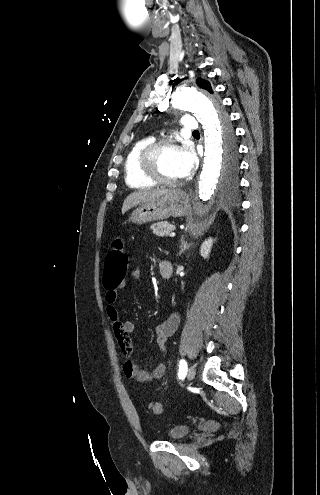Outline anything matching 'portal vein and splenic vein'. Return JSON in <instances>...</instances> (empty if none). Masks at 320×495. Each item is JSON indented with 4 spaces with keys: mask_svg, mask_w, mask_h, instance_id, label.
Returning a JSON list of instances; mask_svg holds the SVG:
<instances>
[{
    "mask_svg": "<svg viewBox=\"0 0 320 495\" xmlns=\"http://www.w3.org/2000/svg\"><path fill=\"white\" fill-rule=\"evenodd\" d=\"M176 234L174 232H172L169 236L170 237H174Z\"/></svg>",
    "mask_w": 320,
    "mask_h": 495,
    "instance_id": "obj_1",
    "label": "portal vein and splenic vein"
}]
</instances>
